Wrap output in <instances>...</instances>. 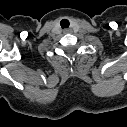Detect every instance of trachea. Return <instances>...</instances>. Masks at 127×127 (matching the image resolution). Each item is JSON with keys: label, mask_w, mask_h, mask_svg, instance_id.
Instances as JSON below:
<instances>
[{"label": "trachea", "mask_w": 127, "mask_h": 127, "mask_svg": "<svg viewBox=\"0 0 127 127\" xmlns=\"http://www.w3.org/2000/svg\"><path fill=\"white\" fill-rule=\"evenodd\" d=\"M60 25L62 28H68L70 25V22L67 19H62L60 22Z\"/></svg>", "instance_id": "obj_1"}]
</instances>
